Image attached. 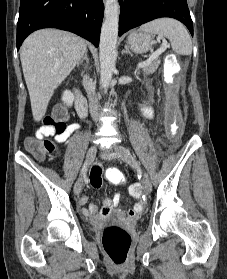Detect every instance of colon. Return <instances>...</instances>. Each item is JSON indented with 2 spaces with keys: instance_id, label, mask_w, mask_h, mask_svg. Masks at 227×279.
<instances>
[{
  "instance_id": "5ec220e1",
  "label": "colon",
  "mask_w": 227,
  "mask_h": 279,
  "mask_svg": "<svg viewBox=\"0 0 227 279\" xmlns=\"http://www.w3.org/2000/svg\"><path fill=\"white\" fill-rule=\"evenodd\" d=\"M181 103L184 105V96H181ZM66 112L62 106L54 109L53 115L45 119V124L50 126L55 132L64 131L66 123L64 116ZM26 148L36 158L44 159L47 153L55 149V144L47 139H32L26 143ZM100 171L99 167H94L92 173L95 174ZM109 179L118 184H124L126 177L124 173L118 169H114L109 174ZM103 248L108 257L116 264H123L127 260L131 238L127 231L120 226H109L105 229L102 236Z\"/></svg>"
}]
</instances>
